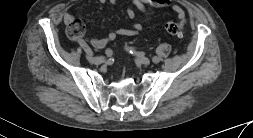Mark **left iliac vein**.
Segmentation results:
<instances>
[{
  "instance_id": "left-iliac-vein-1",
  "label": "left iliac vein",
  "mask_w": 253,
  "mask_h": 138,
  "mask_svg": "<svg viewBox=\"0 0 253 138\" xmlns=\"http://www.w3.org/2000/svg\"><path fill=\"white\" fill-rule=\"evenodd\" d=\"M137 61L140 62L141 64L144 65H149L150 64V59L141 55V54H137Z\"/></svg>"
}]
</instances>
